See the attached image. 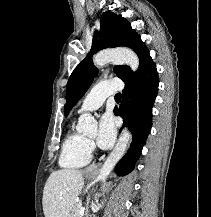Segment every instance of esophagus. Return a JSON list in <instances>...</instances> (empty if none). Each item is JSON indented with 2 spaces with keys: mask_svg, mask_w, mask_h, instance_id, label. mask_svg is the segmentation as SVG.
Masks as SVG:
<instances>
[{
  "mask_svg": "<svg viewBox=\"0 0 211 217\" xmlns=\"http://www.w3.org/2000/svg\"><path fill=\"white\" fill-rule=\"evenodd\" d=\"M99 164H92L88 167L87 171H96L98 169Z\"/></svg>",
  "mask_w": 211,
  "mask_h": 217,
  "instance_id": "34e87169",
  "label": "esophagus"
}]
</instances>
